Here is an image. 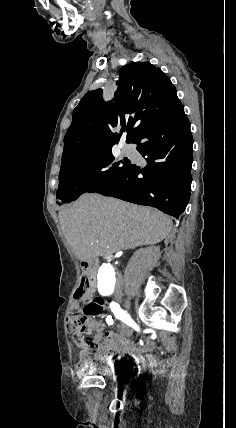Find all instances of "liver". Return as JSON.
I'll return each instance as SVG.
<instances>
[{
    "mask_svg": "<svg viewBox=\"0 0 236 428\" xmlns=\"http://www.w3.org/2000/svg\"><path fill=\"white\" fill-rule=\"evenodd\" d=\"M62 232L77 260L112 256L119 250L158 244L171 230L168 216L99 194H84L59 212Z\"/></svg>",
    "mask_w": 236,
    "mask_h": 428,
    "instance_id": "liver-1",
    "label": "liver"
}]
</instances>
